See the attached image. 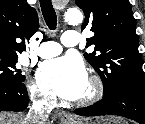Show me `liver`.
<instances>
[{"label": "liver", "instance_id": "1", "mask_svg": "<svg viewBox=\"0 0 145 124\" xmlns=\"http://www.w3.org/2000/svg\"><path fill=\"white\" fill-rule=\"evenodd\" d=\"M22 115L15 113H0V124H25Z\"/></svg>", "mask_w": 145, "mask_h": 124}]
</instances>
